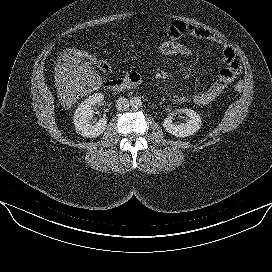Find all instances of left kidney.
<instances>
[{"label": "left kidney", "instance_id": "1", "mask_svg": "<svg viewBox=\"0 0 272 272\" xmlns=\"http://www.w3.org/2000/svg\"><path fill=\"white\" fill-rule=\"evenodd\" d=\"M185 113L187 120L185 123L176 124L173 115H168L163 121L165 130L175 137L185 138L194 135L201 128L200 116L191 109H181Z\"/></svg>", "mask_w": 272, "mask_h": 272}]
</instances>
